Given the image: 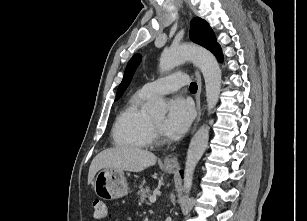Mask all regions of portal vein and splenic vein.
<instances>
[{
	"label": "portal vein and splenic vein",
	"mask_w": 307,
	"mask_h": 221,
	"mask_svg": "<svg viewBox=\"0 0 307 221\" xmlns=\"http://www.w3.org/2000/svg\"><path fill=\"white\" fill-rule=\"evenodd\" d=\"M149 201H150L151 203L156 202V197H155V196L149 197Z\"/></svg>",
	"instance_id": "1"
}]
</instances>
